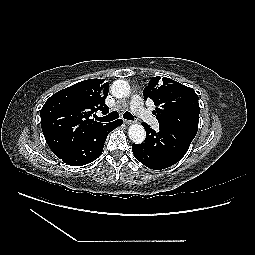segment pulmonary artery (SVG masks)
<instances>
[{
  "label": "pulmonary artery",
  "mask_w": 255,
  "mask_h": 255,
  "mask_svg": "<svg viewBox=\"0 0 255 255\" xmlns=\"http://www.w3.org/2000/svg\"><path fill=\"white\" fill-rule=\"evenodd\" d=\"M131 111L143 121L152 125L153 128H158V121L152 116V114L143 106L142 97L135 94L129 101Z\"/></svg>",
  "instance_id": "obj_1"
}]
</instances>
